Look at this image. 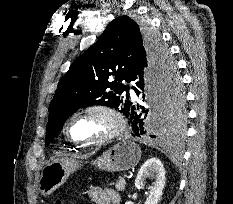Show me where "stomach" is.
Segmentation results:
<instances>
[{"instance_id": "0dacf381", "label": "stomach", "mask_w": 233, "mask_h": 204, "mask_svg": "<svg viewBox=\"0 0 233 204\" xmlns=\"http://www.w3.org/2000/svg\"><path fill=\"white\" fill-rule=\"evenodd\" d=\"M140 158V147L131 140H122L92 161V164L100 170L119 172L132 169L139 163ZM78 168V162L71 159L59 158L50 161L41 171L39 193L43 196L50 195Z\"/></svg>"}]
</instances>
